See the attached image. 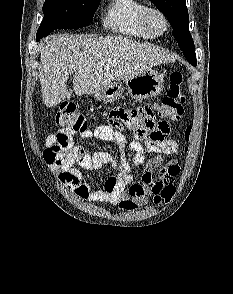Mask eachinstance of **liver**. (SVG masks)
<instances>
[{
    "mask_svg": "<svg viewBox=\"0 0 233 294\" xmlns=\"http://www.w3.org/2000/svg\"><path fill=\"white\" fill-rule=\"evenodd\" d=\"M40 84L46 107H53L72 93L67 80L74 73L77 96L95 94L112 81L130 79L153 66L174 61L158 47L120 36L87 37L52 35L40 55Z\"/></svg>",
    "mask_w": 233,
    "mask_h": 294,
    "instance_id": "1",
    "label": "liver"
}]
</instances>
